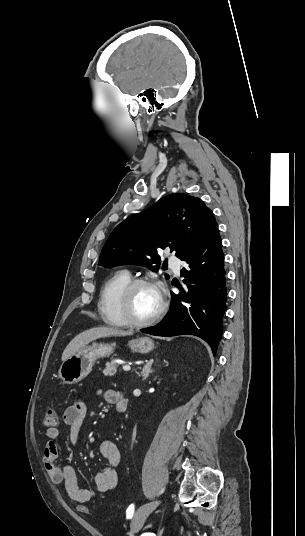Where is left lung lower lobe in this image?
I'll use <instances>...</instances> for the list:
<instances>
[{"mask_svg":"<svg viewBox=\"0 0 305 536\" xmlns=\"http://www.w3.org/2000/svg\"><path fill=\"white\" fill-rule=\"evenodd\" d=\"M181 260L185 261V267L181 269L185 289L176 285L181 292L171 293L168 315L156 326L141 331L157 336L195 335L204 339L215 355L222 337L227 301L226 271L218 227L194 252Z\"/></svg>","mask_w":305,"mask_h":536,"instance_id":"0a47b994","label":"left lung lower lobe"}]
</instances>
